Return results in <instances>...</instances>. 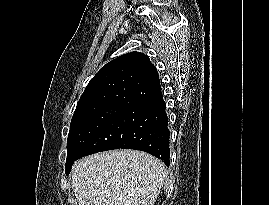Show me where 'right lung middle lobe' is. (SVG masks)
<instances>
[{"label":"right lung middle lobe","instance_id":"1","mask_svg":"<svg viewBox=\"0 0 269 205\" xmlns=\"http://www.w3.org/2000/svg\"><path fill=\"white\" fill-rule=\"evenodd\" d=\"M117 104H98L75 110L67 140L66 174L70 173L80 150L114 116L126 109Z\"/></svg>","mask_w":269,"mask_h":205}]
</instances>
